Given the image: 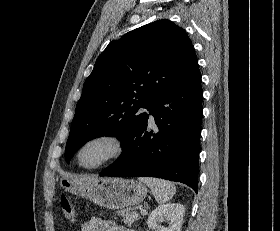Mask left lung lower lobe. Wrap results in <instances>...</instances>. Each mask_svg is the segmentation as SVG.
<instances>
[{
  "label": "left lung lower lobe",
  "mask_w": 280,
  "mask_h": 231,
  "mask_svg": "<svg viewBox=\"0 0 280 231\" xmlns=\"http://www.w3.org/2000/svg\"><path fill=\"white\" fill-rule=\"evenodd\" d=\"M201 73L196 70L162 94L149 112L158 132H147V114L123 141L122 155L99 173L110 177H158L197 193L202 122Z\"/></svg>",
  "instance_id": "0a47b994"
}]
</instances>
